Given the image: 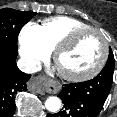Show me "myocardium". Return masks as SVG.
<instances>
[{"mask_svg": "<svg viewBox=\"0 0 117 117\" xmlns=\"http://www.w3.org/2000/svg\"><path fill=\"white\" fill-rule=\"evenodd\" d=\"M89 32L95 33L101 38L102 44H103L102 56H101L99 62L92 69H90L89 71H86L84 73H81V74L66 73V72L61 71L58 68L61 77L64 78L65 80L72 81V82H81V81L89 80V79L95 77L97 74H99L100 71L105 66L107 59H108V55H109L108 41L102 31H100L97 28L91 27V26L75 29V30L69 32L63 39H61L59 41V43L55 46L54 51H53L54 62L58 67V59H59L60 55L67 48H69L80 35H82L84 33H89Z\"/></svg>", "mask_w": 117, "mask_h": 117, "instance_id": "myocardium-1", "label": "myocardium"}]
</instances>
